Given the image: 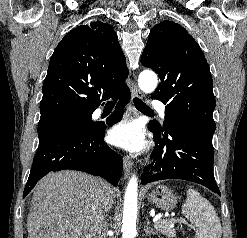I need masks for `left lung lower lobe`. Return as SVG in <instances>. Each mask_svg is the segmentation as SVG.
Segmentation results:
<instances>
[{"mask_svg": "<svg viewBox=\"0 0 247 238\" xmlns=\"http://www.w3.org/2000/svg\"><path fill=\"white\" fill-rule=\"evenodd\" d=\"M148 128L157 142L155 161L141 175L142 184L163 180L182 179L204 185L220 195L213 173L214 152L212 136L203 130L184 123L172 122L167 132Z\"/></svg>", "mask_w": 247, "mask_h": 238, "instance_id": "left-lung-lower-lobe-1", "label": "left lung lower lobe"}]
</instances>
